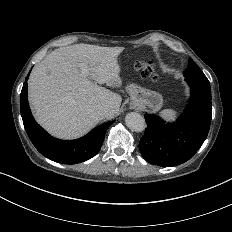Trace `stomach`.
<instances>
[{"instance_id": "1", "label": "stomach", "mask_w": 232, "mask_h": 232, "mask_svg": "<svg viewBox=\"0 0 232 232\" xmlns=\"http://www.w3.org/2000/svg\"><path fill=\"white\" fill-rule=\"evenodd\" d=\"M129 92L131 95V107L135 104H140L141 107L150 106L154 110H157L162 104V96L157 92L147 91L134 85L129 87Z\"/></svg>"}]
</instances>
